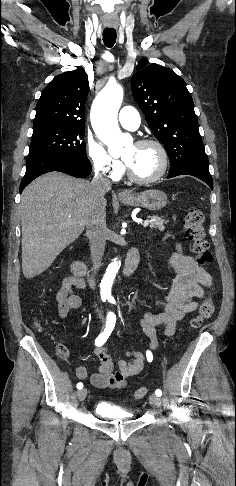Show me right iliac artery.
<instances>
[{
  "instance_id": "right-iliac-artery-1",
  "label": "right iliac artery",
  "mask_w": 236,
  "mask_h": 486,
  "mask_svg": "<svg viewBox=\"0 0 236 486\" xmlns=\"http://www.w3.org/2000/svg\"><path fill=\"white\" fill-rule=\"evenodd\" d=\"M116 323V315L113 312H109L107 315V321L104 328V331L99 334V336L95 340L96 346H102L107 339L109 338L110 334L112 333ZM78 389L83 388V384L79 382L77 384Z\"/></svg>"
}]
</instances>
